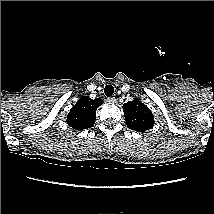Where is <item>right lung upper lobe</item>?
Returning <instances> with one entry per match:
<instances>
[{
    "label": "right lung upper lobe",
    "mask_w": 214,
    "mask_h": 214,
    "mask_svg": "<svg viewBox=\"0 0 214 214\" xmlns=\"http://www.w3.org/2000/svg\"><path fill=\"white\" fill-rule=\"evenodd\" d=\"M102 103L99 98L92 100L87 96L81 97L68 114L67 124L76 130L92 127L95 123L96 110Z\"/></svg>",
    "instance_id": "right-lung-upper-lobe-1"
}]
</instances>
